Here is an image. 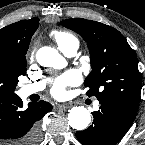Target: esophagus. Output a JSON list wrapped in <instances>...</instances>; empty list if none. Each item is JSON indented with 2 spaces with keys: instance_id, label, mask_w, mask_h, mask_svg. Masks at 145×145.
Masks as SVG:
<instances>
[{
  "instance_id": "esophagus-1",
  "label": "esophagus",
  "mask_w": 145,
  "mask_h": 145,
  "mask_svg": "<svg viewBox=\"0 0 145 145\" xmlns=\"http://www.w3.org/2000/svg\"><path fill=\"white\" fill-rule=\"evenodd\" d=\"M70 107H71V105L69 103H62V104L57 105V108L60 109V110H66Z\"/></svg>"
}]
</instances>
